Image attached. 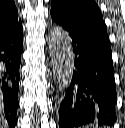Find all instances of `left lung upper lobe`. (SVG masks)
I'll return each mask as SVG.
<instances>
[{
	"label": "left lung upper lobe",
	"mask_w": 125,
	"mask_h": 128,
	"mask_svg": "<svg viewBox=\"0 0 125 128\" xmlns=\"http://www.w3.org/2000/svg\"><path fill=\"white\" fill-rule=\"evenodd\" d=\"M51 16L69 33L110 44L106 25L94 0H52Z\"/></svg>",
	"instance_id": "1"
}]
</instances>
